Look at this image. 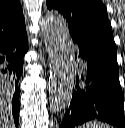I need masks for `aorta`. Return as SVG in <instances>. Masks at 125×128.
I'll return each instance as SVG.
<instances>
[{"label":"aorta","mask_w":125,"mask_h":128,"mask_svg":"<svg viewBox=\"0 0 125 128\" xmlns=\"http://www.w3.org/2000/svg\"><path fill=\"white\" fill-rule=\"evenodd\" d=\"M41 32L50 59V108L59 112L70 104L75 86V63L69 29L66 20L52 11L42 17Z\"/></svg>","instance_id":"obj_1"}]
</instances>
